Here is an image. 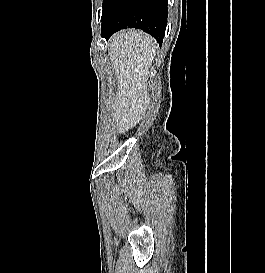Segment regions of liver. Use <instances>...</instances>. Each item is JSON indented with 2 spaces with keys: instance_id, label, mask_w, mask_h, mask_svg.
Instances as JSON below:
<instances>
[{
  "instance_id": "1",
  "label": "liver",
  "mask_w": 265,
  "mask_h": 273,
  "mask_svg": "<svg viewBox=\"0 0 265 273\" xmlns=\"http://www.w3.org/2000/svg\"><path fill=\"white\" fill-rule=\"evenodd\" d=\"M156 49L152 37L134 29L118 32L111 38V61L118 83L113 111L119 133L136 126L147 109V80Z\"/></svg>"
}]
</instances>
